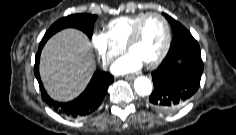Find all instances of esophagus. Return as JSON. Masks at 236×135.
Listing matches in <instances>:
<instances>
[{
	"instance_id": "1",
	"label": "esophagus",
	"mask_w": 236,
	"mask_h": 135,
	"mask_svg": "<svg viewBox=\"0 0 236 135\" xmlns=\"http://www.w3.org/2000/svg\"><path fill=\"white\" fill-rule=\"evenodd\" d=\"M134 78H135L134 75H127V76H125L126 80H133Z\"/></svg>"
}]
</instances>
